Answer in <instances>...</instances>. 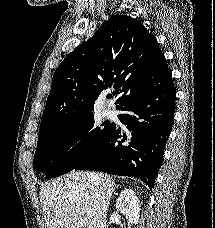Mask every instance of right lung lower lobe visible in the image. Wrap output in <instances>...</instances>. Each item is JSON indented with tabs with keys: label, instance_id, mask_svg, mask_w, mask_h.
<instances>
[{
	"label": "right lung lower lobe",
	"instance_id": "98d812e1",
	"mask_svg": "<svg viewBox=\"0 0 215 228\" xmlns=\"http://www.w3.org/2000/svg\"><path fill=\"white\" fill-rule=\"evenodd\" d=\"M175 88L171 75L161 81L142 82L118 108L130 131V141H118L121 130L114 125L109 136L74 169L95 170L140 178L149 188L161 167L164 147L172 129Z\"/></svg>",
	"mask_w": 215,
	"mask_h": 228
}]
</instances>
